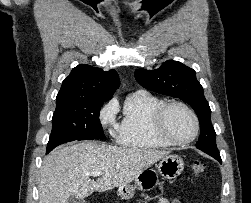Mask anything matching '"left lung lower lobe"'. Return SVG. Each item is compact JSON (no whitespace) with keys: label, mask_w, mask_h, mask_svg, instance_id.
<instances>
[{"label":"left lung lower lobe","mask_w":251,"mask_h":203,"mask_svg":"<svg viewBox=\"0 0 251 203\" xmlns=\"http://www.w3.org/2000/svg\"><path fill=\"white\" fill-rule=\"evenodd\" d=\"M215 159H217L219 162H221V157L220 156H214Z\"/></svg>","instance_id":"1"}]
</instances>
